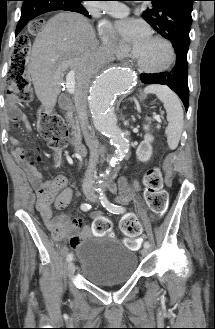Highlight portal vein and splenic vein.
I'll use <instances>...</instances> for the list:
<instances>
[{
  "label": "portal vein and splenic vein",
  "instance_id": "portal-vein-and-splenic-vein-1",
  "mask_svg": "<svg viewBox=\"0 0 215 329\" xmlns=\"http://www.w3.org/2000/svg\"><path fill=\"white\" fill-rule=\"evenodd\" d=\"M75 85H76V82H75V71L74 70H71L67 73L66 75V88L68 90V92L70 94H74L75 92ZM153 118L157 121H160L161 120V116L160 115H154Z\"/></svg>",
  "mask_w": 215,
  "mask_h": 329
}]
</instances>
